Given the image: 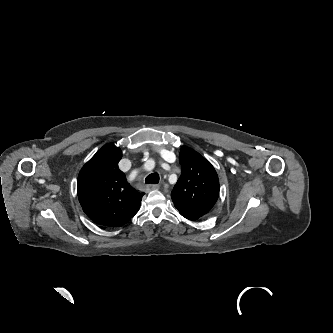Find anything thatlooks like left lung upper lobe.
Returning a JSON list of instances; mask_svg holds the SVG:
<instances>
[{"mask_svg":"<svg viewBox=\"0 0 333 333\" xmlns=\"http://www.w3.org/2000/svg\"><path fill=\"white\" fill-rule=\"evenodd\" d=\"M181 176L171 197L182 216L202 217L216 203L219 179L214 167L198 152L183 146L179 158Z\"/></svg>","mask_w":333,"mask_h":333,"instance_id":"5c2ea615","label":"left lung upper lobe"}]
</instances>
